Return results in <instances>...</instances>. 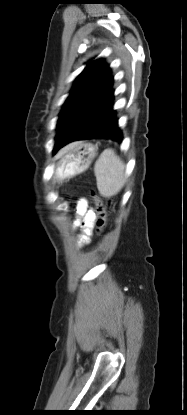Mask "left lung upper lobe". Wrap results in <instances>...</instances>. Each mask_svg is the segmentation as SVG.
<instances>
[{"label":"left lung upper lobe","mask_w":187,"mask_h":415,"mask_svg":"<svg viewBox=\"0 0 187 415\" xmlns=\"http://www.w3.org/2000/svg\"><path fill=\"white\" fill-rule=\"evenodd\" d=\"M106 64L102 59L93 61L85 67V69L78 75L76 81L71 89L70 95L65 101V104L60 113L57 124V135L54 150L60 144L64 133L72 124L73 120L79 113L86 96L91 87L102 74L106 68Z\"/></svg>","instance_id":"1"}]
</instances>
